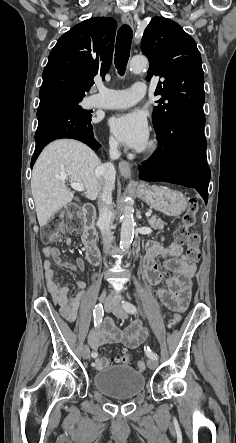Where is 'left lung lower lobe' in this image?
<instances>
[{"label":"left lung lower lobe","instance_id":"1","mask_svg":"<svg viewBox=\"0 0 236 443\" xmlns=\"http://www.w3.org/2000/svg\"><path fill=\"white\" fill-rule=\"evenodd\" d=\"M204 125L203 108H184L168 117L164 127L156 130L159 148L139 166V178L195 188L207 204L211 172Z\"/></svg>","mask_w":236,"mask_h":443}]
</instances>
